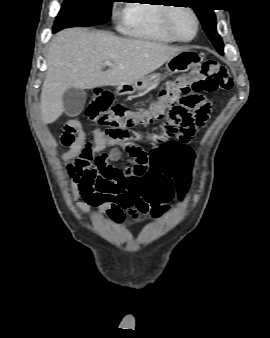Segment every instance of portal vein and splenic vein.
I'll return each mask as SVG.
<instances>
[{"instance_id":"portal-vein-and-splenic-vein-1","label":"portal vein and splenic vein","mask_w":270,"mask_h":338,"mask_svg":"<svg viewBox=\"0 0 270 338\" xmlns=\"http://www.w3.org/2000/svg\"><path fill=\"white\" fill-rule=\"evenodd\" d=\"M103 65H105V66H113V64L110 61H105L103 63Z\"/></svg>"}]
</instances>
